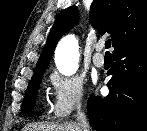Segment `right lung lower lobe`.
I'll return each instance as SVG.
<instances>
[{"label": "right lung lower lobe", "mask_w": 147, "mask_h": 131, "mask_svg": "<svg viewBox=\"0 0 147 131\" xmlns=\"http://www.w3.org/2000/svg\"><path fill=\"white\" fill-rule=\"evenodd\" d=\"M109 95L88 100L90 125L96 131H147V32L113 52Z\"/></svg>", "instance_id": "98d812e1"}]
</instances>
